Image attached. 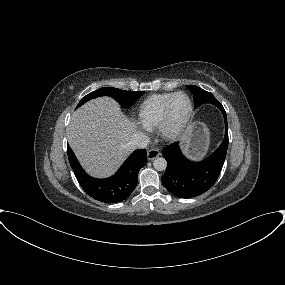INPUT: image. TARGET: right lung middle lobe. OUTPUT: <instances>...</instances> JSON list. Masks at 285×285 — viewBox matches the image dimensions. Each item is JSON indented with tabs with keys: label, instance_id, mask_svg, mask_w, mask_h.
Returning a JSON list of instances; mask_svg holds the SVG:
<instances>
[{
	"label": "right lung middle lobe",
	"instance_id": "1",
	"mask_svg": "<svg viewBox=\"0 0 285 285\" xmlns=\"http://www.w3.org/2000/svg\"><path fill=\"white\" fill-rule=\"evenodd\" d=\"M143 91L132 92V91H125L117 88L111 87H103L96 91L89 93L88 95L84 96L77 108L83 105L88 100H91L96 97L100 96H109L114 98L117 102H119L123 107L128 108L134 104V102L143 94Z\"/></svg>",
	"mask_w": 285,
	"mask_h": 285
}]
</instances>
